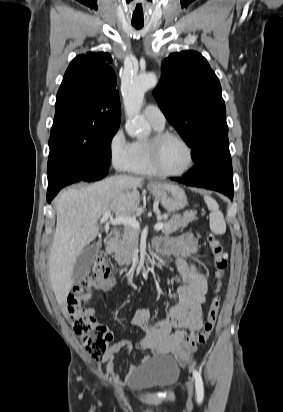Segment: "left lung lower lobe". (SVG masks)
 <instances>
[{
  "mask_svg": "<svg viewBox=\"0 0 283 412\" xmlns=\"http://www.w3.org/2000/svg\"><path fill=\"white\" fill-rule=\"evenodd\" d=\"M210 154V157H198L195 161L196 165L184 177L171 179L188 186L221 192L232 200L234 194L232 163L220 151H217L216 155Z\"/></svg>",
  "mask_w": 283,
  "mask_h": 412,
  "instance_id": "0a47b994",
  "label": "left lung lower lobe"
}]
</instances>
